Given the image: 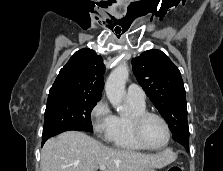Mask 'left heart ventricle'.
Segmentation results:
<instances>
[{
	"label": "left heart ventricle",
	"instance_id": "1",
	"mask_svg": "<svg viewBox=\"0 0 223 171\" xmlns=\"http://www.w3.org/2000/svg\"><path fill=\"white\" fill-rule=\"evenodd\" d=\"M144 141L151 147H160L167 138L164 124L156 117L147 118L141 129Z\"/></svg>",
	"mask_w": 223,
	"mask_h": 171
}]
</instances>
